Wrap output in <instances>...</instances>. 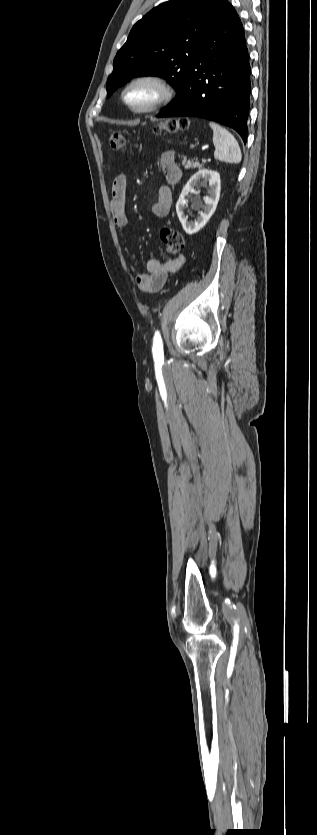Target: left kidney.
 I'll list each match as a JSON object with an SVG mask.
<instances>
[{"mask_svg":"<svg viewBox=\"0 0 317 835\" xmlns=\"http://www.w3.org/2000/svg\"><path fill=\"white\" fill-rule=\"evenodd\" d=\"M200 182H209L207 196L203 198L205 205L194 206L198 209L202 208L203 211H199V216L194 221H188V217L185 214V209L188 207V200L186 197L190 192L194 191V187ZM220 190V174L217 171L201 169L189 179L176 203L177 216L187 234L191 235L198 232L209 221L216 210L220 197Z\"/></svg>","mask_w":317,"mask_h":835,"instance_id":"left-kidney-1","label":"left kidney"}]
</instances>
